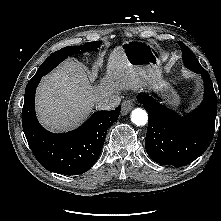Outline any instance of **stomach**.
Segmentation results:
<instances>
[{"instance_id": "stomach-1", "label": "stomach", "mask_w": 221, "mask_h": 221, "mask_svg": "<svg viewBox=\"0 0 221 221\" xmlns=\"http://www.w3.org/2000/svg\"><path fill=\"white\" fill-rule=\"evenodd\" d=\"M121 48L128 63L141 72L149 86L168 103L177 106L179 96L161 76L162 54L158 47L143 40H130Z\"/></svg>"}]
</instances>
